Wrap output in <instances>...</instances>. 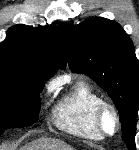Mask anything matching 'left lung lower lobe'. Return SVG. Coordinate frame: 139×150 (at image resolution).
Listing matches in <instances>:
<instances>
[{"label": "left lung lower lobe", "instance_id": "1", "mask_svg": "<svg viewBox=\"0 0 139 150\" xmlns=\"http://www.w3.org/2000/svg\"><path fill=\"white\" fill-rule=\"evenodd\" d=\"M135 149H136V148H135V145L129 147V150H135Z\"/></svg>", "mask_w": 139, "mask_h": 150}]
</instances>
